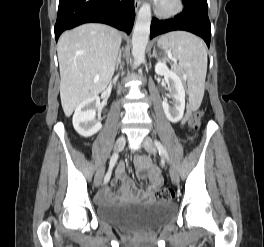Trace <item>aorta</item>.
<instances>
[{"mask_svg":"<svg viewBox=\"0 0 264 247\" xmlns=\"http://www.w3.org/2000/svg\"><path fill=\"white\" fill-rule=\"evenodd\" d=\"M151 25V6L144 3L137 14L132 36V67L137 68L145 60V50L149 39Z\"/></svg>","mask_w":264,"mask_h":247,"instance_id":"1","label":"aorta"}]
</instances>
